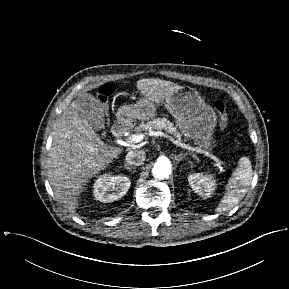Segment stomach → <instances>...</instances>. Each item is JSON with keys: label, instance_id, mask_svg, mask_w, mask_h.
Here are the masks:
<instances>
[{"label": "stomach", "instance_id": "0dacf381", "mask_svg": "<svg viewBox=\"0 0 289 289\" xmlns=\"http://www.w3.org/2000/svg\"><path fill=\"white\" fill-rule=\"evenodd\" d=\"M165 106L182 134L193 139L201 148L212 149L217 116L196 89L183 86L175 90L165 98ZM154 115L155 107L145 98L139 99L134 105L122 106L117 112L119 121L148 120Z\"/></svg>", "mask_w": 289, "mask_h": 289}]
</instances>
